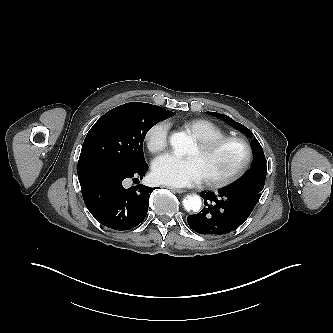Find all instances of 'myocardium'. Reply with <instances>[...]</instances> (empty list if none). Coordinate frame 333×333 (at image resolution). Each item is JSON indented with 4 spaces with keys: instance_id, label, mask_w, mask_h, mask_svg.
Segmentation results:
<instances>
[{
    "instance_id": "1",
    "label": "myocardium",
    "mask_w": 333,
    "mask_h": 333,
    "mask_svg": "<svg viewBox=\"0 0 333 333\" xmlns=\"http://www.w3.org/2000/svg\"><path fill=\"white\" fill-rule=\"evenodd\" d=\"M234 144L237 145L242 152V157L237 167L220 178H204L205 184L212 188H222L239 179L248 169L252 160L251 146L247 140L238 136H223L216 139L198 141V148L202 153H210L223 146Z\"/></svg>"
}]
</instances>
